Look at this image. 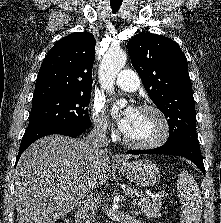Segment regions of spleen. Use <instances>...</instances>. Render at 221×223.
I'll return each mask as SVG.
<instances>
[{"label": "spleen", "mask_w": 221, "mask_h": 223, "mask_svg": "<svg viewBox=\"0 0 221 223\" xmlns=\"http://www.w3.org/2000/svg\"><path fill=\"white\" fill-rule=\"evenodd\" d=\"M178 197L182 202L180 223H200L202 214L201 191L188 171H181L177 180Z\"/></svg>", "instance_id": "spleen-1"}]
</instances>
